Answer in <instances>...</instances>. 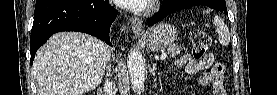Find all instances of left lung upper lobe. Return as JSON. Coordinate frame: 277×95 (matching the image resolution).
Masks as SVG:
<instances>
[{
	"instance_id": "obj_1",
	"label": "left lung upper lobe",
	"mask_w": 277,
	"mask_h": 95,
	"mask_svg": "<svg viewBox=\"0 0 277 95\" xmlns=\"http://www.w3.org/2000/svg\"><path fill=\"white\" fill-rule=\"evenodd\" d=\"M170 1H171V0H163V4L168 3V2H170ZM214 1H215V0H211V1L209 2V7L214 8V9H218L219 7L215 5V2H214Z\"/></svg>"
}]
</instances>
